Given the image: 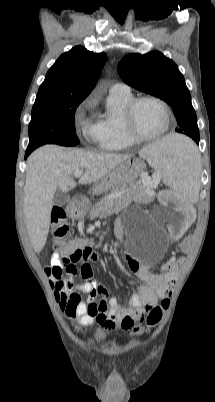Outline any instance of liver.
I'll use <instances>...</instances> for the list:
<instances>
[{
  "label": "liver",
  "mask_w": 215,
  "mask_h": 402,
  "mask_svg": "<svg viewBox=\"0 0 215 402\" xmlns=\"http://www.w3.org/2000/svg\"><path fill=\"white\" fill-rule=\"evenodd\" d=\"M128 158L114 153L64 150L57 145L35 150L27 161L23 198L25 224L34 251L39 253L47 241L56 190L68 192L75 188L77 183L71 176L76 170L84 171L78 184L97 183Z\"/></svg>",
  "instance_id": "6515ba94"
}]
</instances>
